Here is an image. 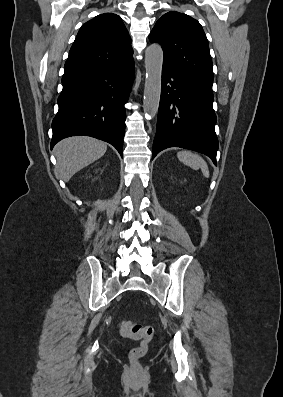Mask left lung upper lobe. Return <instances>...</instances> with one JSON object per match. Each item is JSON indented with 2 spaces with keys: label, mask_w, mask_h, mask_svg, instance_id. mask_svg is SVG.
Instances as JSON below:
<instances>
[{
  "label": "left lung upper lobe",
  "mask_w": 283,
  "mask_h": 397,
  "mask_svg": "<svg viewBox=\"0 0 283 397\" xmlns=\"http://www.w3.org/2000/svg\"><path fill=\"white\" fill-rule=\"evenodd\" d=\"M149 40L162 46L163 62L212 87L213 69L208 40L197 20L184 13L170 11L157 21Z\"/></svg>",
  "instance_id": "5c2ea615"
}]
</instances>
